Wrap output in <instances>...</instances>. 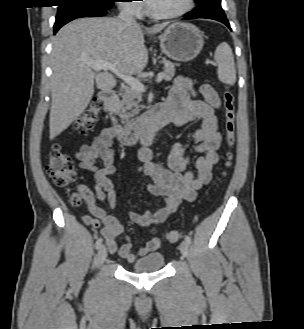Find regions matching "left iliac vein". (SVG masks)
<instances>
[{
	"label": "left iliac vein",
	"instance_id": "left-iliac-vein-1",
	"mask_svg": "<svg viewBox=\"0 0 304 329\" xmlns=\"http://www.w3.org/2000/svg\"><path fill=\"white\" fill-rule=\"evenodd\" d=\"M179 248L181 254L187 258L189 254V244L186 241H182Z\"/></svg>",
	"mask_w": 304,
	"mask_h": 329
}]
</instances>
